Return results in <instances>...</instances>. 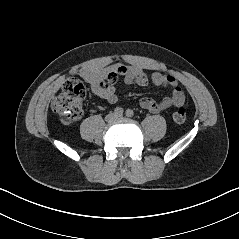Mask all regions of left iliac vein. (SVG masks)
Returning a JSON list of instances; mask_svg holds the SVG:
<instances>
[{
	"label": "left iliac vein",
	"mask_w": 239,
	"mask_h": 239,
	"mask_svg": "<svg viewBox=\"0 0 239 239\" xmlns=\"http://www.w3.org/2000/svg\"><path fill=\"white\" fill-rule=\"evenodd\" d=\"M116 117H117V118H122V115H117Z\"/></svg>",
	"instance_id": "1"
}]
</instances>
